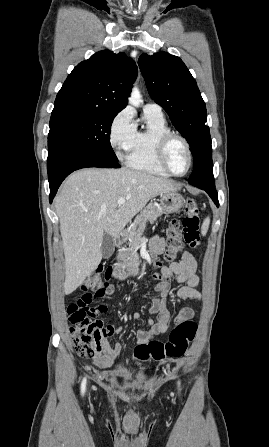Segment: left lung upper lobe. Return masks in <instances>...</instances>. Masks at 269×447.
Listing matches in <instances>:
<instances>
[{
    "mask_svg": "<svg viewBox=\"0 0 269 447\" xmlns=\"http://www.w3.org/2000/svg\"><path fill=\"white\" fill-rule=\"evenodd\" d=\"M138 65L148 92L163 107L190 145L194 170L191 185H213L212 147L206 106L196 81L183 61L166 52L142 54Z\"/></svg>",
    "mask_w": 269,
    "mask_h": 447,
    "instance_id": "5c2ea615",
    "label": "left lung upper lobe"
}]
</instances>
